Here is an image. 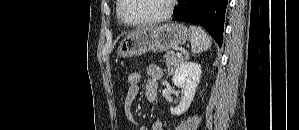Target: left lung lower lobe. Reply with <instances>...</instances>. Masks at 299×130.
Wrapping results in <instances>:
<instances>
[{
	"mask_svg": "<svg viewBox=\"0 0 299 130\" xmlns=\"http://www.w3.org/2000/svg\"><path fill=\"white\" fill-rule=\"evenodd\" d=\"M228 0H179L172 20L201 25L222 46Z\"/></svg>",
	"mask_w": 299,
	"mask_h": 130,
	"instance_id": "1",
	"label": "left lung lower lobe"
}]
</instances>
